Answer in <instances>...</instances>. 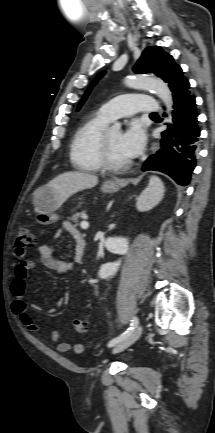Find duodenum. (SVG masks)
Returning <instances> with one entry per match:
<instances>
[{
	"instance_id": "1",
	"label": "duodenum",
	"mask_w": 215,
	"mask_h": 433,
	"mask_svg": "<svg viewBox=\"0 0 215 433\" xmlns=\"http://www.w3.org/2000/svg\"><path fill=\"white\" fill-rule=\"evenodd\" d=\"M81 251L83 252V254L85 253V243L82 245Z\"/></svg>"
}]
</instances>
